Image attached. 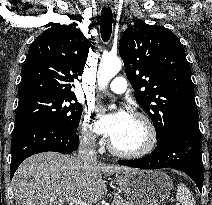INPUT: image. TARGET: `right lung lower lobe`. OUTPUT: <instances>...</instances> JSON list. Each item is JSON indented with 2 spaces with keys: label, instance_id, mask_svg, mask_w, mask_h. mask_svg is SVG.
Masks as SVG:
<instances>
[{
  "label": "right lung lower lobe",
  "instance_id": "1",
  "mask_svg": "<svg viewBox=\"0 0 212 205\" xmlns=\"http://www.w3.org/2000/svg\"><path fill=\"white\" fill-rule=\"evenodd\" d=\"M79 136L49 121H29L17 124L12 136L10 179L21 162L36 153L56 151L69 154L78 147Z\"/></svg>",
  "mask_w": 212,
  "mask_h": 205
}]
</instances>
